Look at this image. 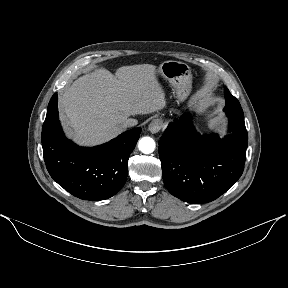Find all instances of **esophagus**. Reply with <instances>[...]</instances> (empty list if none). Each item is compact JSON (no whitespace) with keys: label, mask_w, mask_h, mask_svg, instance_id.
Segmentation results:
<instances>
[{"label":"esophagus","mask_w":288,"mask_h":288,"mask_svg":"<svg viewBox=\"0 0 288 288\" xmlns=\"http://www.w3.org/2000/svg\"><path fill=\"white\" fill-rule=\"evenodd\" d=\"M163 127V121L162 119H159V118H156V119H153L149 126H148V129L151 133H157L161 130V128Z\"/></svg>","instance_id":"esophagus-1"}]
</instances>
